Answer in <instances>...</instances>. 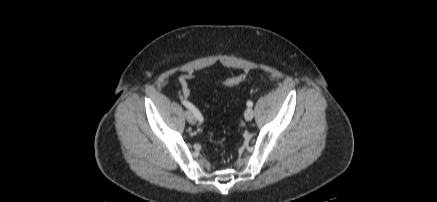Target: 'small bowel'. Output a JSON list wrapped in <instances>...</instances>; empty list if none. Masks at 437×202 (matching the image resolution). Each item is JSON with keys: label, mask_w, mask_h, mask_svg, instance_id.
<instances>
[{"label": "small bowel", "mask_w": 437, "mask_h": 202, "mask_svg": "<svg viewBox=\"0 0 437 202\" xmlns=\"http://www.w3.org/2000/svg\"><path fill=\"white\" fill-rule=\"evenodd\" d=\"M195 76L191 73L183 74L179 77L178 81L181 87L182 97L187 99L190 95V89L188 86V80L194 78Z\"/></svg>", "instance_id": "small-bowel-1"}]
</instances>
